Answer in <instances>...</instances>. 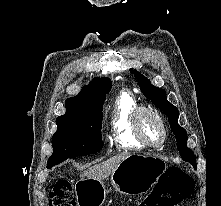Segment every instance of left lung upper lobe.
<instances>
[{
	"label": "left lung upper lobe",
	"instance_id": "1",
	"mask_svg": "<svg viewBox=\"0 0 221 206\" xmlns=\"http://www.w3.org/2000/svg\"><path fill=\"white\" fill-rule=\"evenodd\" d=\"M134 73L135 78L138 79V84L142 93L159 107L168 116L171 130L176 136L177 148L182 156V159L191 163L196 169V159L190 148L187 147V132L178 124V109L166 99L165 90L155 87L150 80L146 79L144 75L140 74L135 69H130Z\"/></svg>",
	"mask_w": 221,
	"mask_h": 206
}]
</instances>
